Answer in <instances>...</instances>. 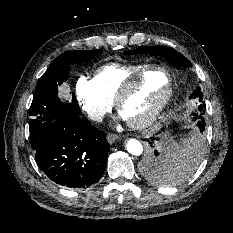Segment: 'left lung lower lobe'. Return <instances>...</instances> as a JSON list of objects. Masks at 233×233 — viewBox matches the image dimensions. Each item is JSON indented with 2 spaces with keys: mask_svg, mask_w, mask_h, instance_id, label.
Instances as JSON below:
<instances>
[{
  "mask_svg": "<svg viewBox=\"0 0 233 233\" xmlns=\"http://www.w3.org/2000/svg\"><path fill=\"white\" fill-rule=\"evenodd\" d=\"M199 121L197 123V126L199 127L200 131L203 132L204 131V126H205V121H204V118L203 116H199L198 117ZM149 142V144H154V142L156 141H159V138L157 137H153L151 138V140H147ZM159 153L157 150H155L149 157V160H148V168L151 169L154 167V164L156 163V159L158 157ZM167 182L171 181V179H166Z\"/></svg>",
  "mask_w": 233,
  "mask_h": 233,
  "instance_id": "left-lung-lower-lobe-1",
  "label": "left lung lower lobe"
}]
</instances>
